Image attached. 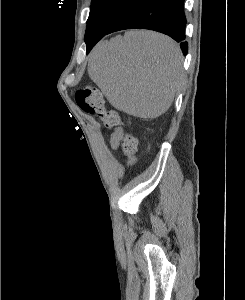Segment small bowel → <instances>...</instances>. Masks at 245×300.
Masks as SVG:
<instances>
[{"label": "small bowel", "instance_id": "small-bowel-1", "mask_svg": "<svg viewBox=\"0 0 245 300\" xmlns=\"http://www.w3.org/2000/svg\"><path fill=\"white\" fill-rule=\"evenodd\" d=\"M123 139V129L122 127H115L110 135V146L113 150H117Z\"/></svg>", "mask_w": 245, "mask_h": 300}]
</instances>
